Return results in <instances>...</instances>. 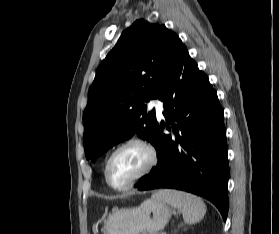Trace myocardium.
<instances>
[{"instance_id":"obj_1","label":"myocardium","mask_w":279,"mask_h":234,"mask_svg":"<svg viewBox=\"0 0 279 234\" xmlns=\"http://www.w3.org/2000/svg\"><path fill=\"white\" fill-rule=\"evenodd\" d=\"M131 145L139 146L146 151L147 156H148L147 163L143 167V169L136 176H134L131 180H129L128 182H126L122 185H115L111 182V180L109 178L110 163L117 153H119L121 150H123L124 148L131 146ZM157 161H158V153H157L156 148L154 147V145L151 142H149L146 139H143L141 137H131V138L123 141L122 143H120L108 156L106 163H105V167H104L105 180H106L107 184L115 190H119V191L127 190V189L131 188L133 185H135L138 181H140L141 179L146 177L151 172V170L155 167V165L157 164Z\"/></svg>"}]
</instances>
